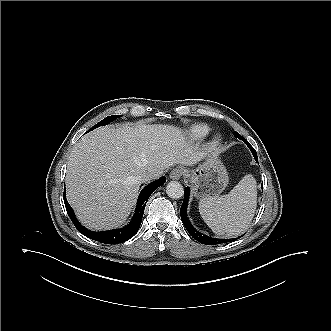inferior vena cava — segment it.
Segmentation results:
<instances>
[{
    "label": "inferior vena cava",
    "mask_w": 331,
    "mask_h": 331,
    "mask_svg": "<svg viewBox=\"0 0 331 331\" xmlns=\"http://www.w3.org/2000/svg\"><path fill=\"white\" fill-rule=\"evenodd\" d=\"M161 175V172L159 171H151V172H147L145 174H143L141 177H140V181L142 183H146V182H149L151 180H155L157 179L158 177H160Z\"/></svg>",
    "instance_id": "inferior-vena-cava-1"
}]
</instances>
